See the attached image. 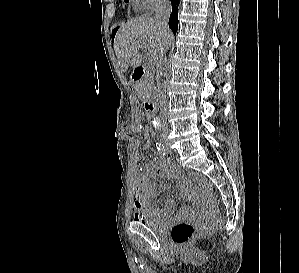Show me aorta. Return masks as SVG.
<instances>
[{"label":"aorta","instance_id":"aorta-1","mask_svg":"<svg viewBox=\"0 0 299 273\" xmlns=\"http://www.w3.org/2000/svg\"><path fill=\"white\" fill-rule=\"evenodd\" d=\"M151 123L153 124L154 127H158L159 126V123H158L157 119H155V118H153L151 120Z\"/></svg>","mask_w":299,"mask_h":273}]
</instances>
